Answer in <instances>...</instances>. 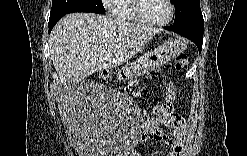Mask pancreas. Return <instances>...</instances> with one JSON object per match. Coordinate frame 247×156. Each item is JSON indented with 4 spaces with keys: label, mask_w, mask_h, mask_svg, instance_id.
<instances>
[{
    "label": "pancreas",
    "mask_w": 247,
    "mask_h": 156,
    "mask_svg": "<svg viewBox=\"0 0 247 156\" xmlns=\"http://www.w3.org/2000/svg\"><path fill=\"white\" fill-rule=\"evenodd\" d=\"M135 65V69L132 71V75L129 79V82H136L137 81V78L140 77L142 74L146 73L147 71L142 68L141 66L137 65V64H134Z\"/></svg>",
    "instance_id": "cf45deb5"
}]
</instances>
